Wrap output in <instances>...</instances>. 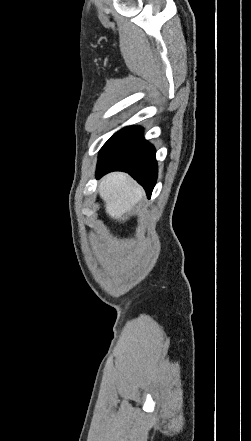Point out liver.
Returning a JSON list of instances; mask_svg holds the SVG:
<instances>
[{"mask_svg": "<svg viewBox=\"0 0 251 441\" xmlns=\"http://www.w3.org/2000/svg\"><path fill=\"white\" fill-rule=\"evenodd\" d=\"M99 195L105 202L106 213L113 219L126 220L133 207L144 195L143 189L128 174L114 172L106 175L99 184Z\"/></svg>", "mask_w": 251, "mask_h": 441, "instance_id": "liver-1", "label": "liver"}]
</instances>
